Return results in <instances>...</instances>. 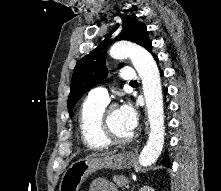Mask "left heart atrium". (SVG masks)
I'll return each instance as SVG.
<instances>
[{"mask_svg": "<svg viewBox=\"0 0 221 191\" xmlns=\"http://www.w3.org/2000/svg\"><path fill=\"white\" fill-rule=\"evenodd\" d=\"M119 111L124 127L131 133L135 131L138 126V115L133 105L125 103L120 107Z\"/></svg>", "mask_w": 221, "mask_h": 191, "instance_id": "39dd6f15", "label": "left heart atrium"}]
</instances>
